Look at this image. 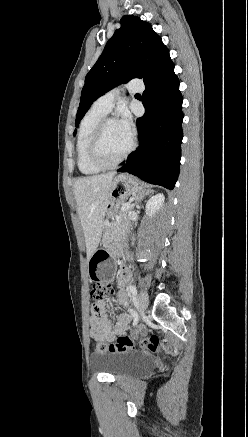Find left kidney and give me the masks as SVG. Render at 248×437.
<instances>
[{
    "label": "left kidney",
    "instance_id": "obj_1",
    "mask_svg": "<svg viewBox=\"0 0 248 437\" xmlns=\"http://www.w3.org/2000/svg\"><path fill=\"white\" fill-rule=\"evenodd\" d=\"M164 195L163 194H156L155 196L151 197L147 204H146V214L149 217H152L153 215H155L156 212H158L164 203Z\"/></svg>",
    "mask_w": 248,
    "mask_h": 437
}]
</instances>
